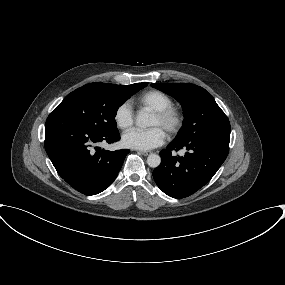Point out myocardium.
Masks as SVG:
<instances>
[{
  "instance_id": "myocardium-1",
  "label": "myocardium",
  "mask_w": 285,
  "mask_h": 285,
  "mask_svg": "<svg viewBox=\"0 0 285 285\" xmlns=\"http://www.w3.org/2000/svg\"><path fill=\"white\" fill-rule=\"evenodd\" d=\"M154 115L163 123L165 132L170 136H174L179 133L183 127L184 114L181 109L173 105L154 111Z\"/></svg>"
}]
</instances>
